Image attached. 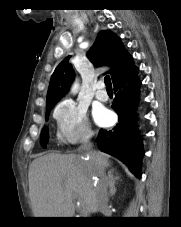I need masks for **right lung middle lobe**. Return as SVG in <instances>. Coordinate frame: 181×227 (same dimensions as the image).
I'll return each instance as SVG.
<instances>
[{
  "mask_svg": "<svg viewBox=\"0 0 181 227\" xmlns=\"http://www.w3.org/2000/svg\"><path fill=\"white\" fill-rule=\"evenodd\" d=\"M54 105L46 107V120H48L49 112L51 111ZM48 142V131L47 128H44L41 134V145L43 148H46V144Z\"/></svg>",
  "mask_w": 181,
  "mask_h": 227,
  "instance_id": "1",
  "label": "right lung middle lobe"
}]
</instances>
